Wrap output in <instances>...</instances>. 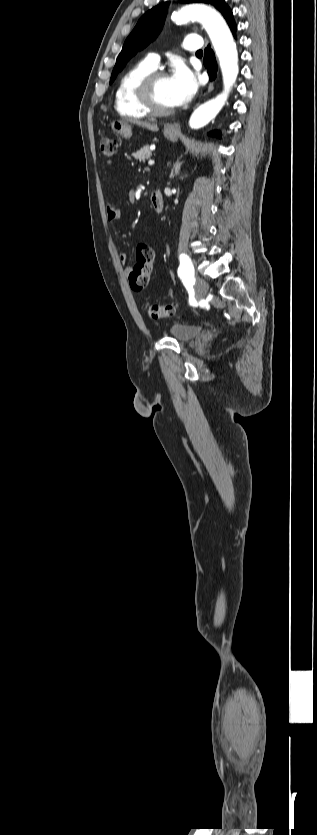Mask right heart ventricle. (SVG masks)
<instances>
[{
    "mask_svg": "<svg viewBox=\"0 0 317 835\" xmlns=\"http://www.w3.org/2000/svg\"><path fill=\"white\" fill-rule=\"evenodd\" d=\"M154 70L146 61H141L122 75L115 92V108L120 115L135 119L149 116L137 98L136 89L140 81Z\"/></svg>",
    "mask_w": 317,
    "mask_h": 835,
    "instance_id": "e07e8e85",
    "label": "right heart ventricle"
}]
</instances>
